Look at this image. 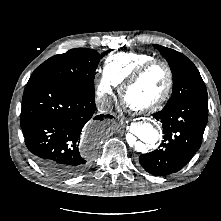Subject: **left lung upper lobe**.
Returning a JSON list of instances; mask_svg holds the SVG:
<instances>
[{"instance_id":"1","label":"left lung upper lobe","mask_w":221,"mask_h":221,"mask_svg":"<svg viewBox=\"0 0 221 221\" xmlns=\"http://www.w3.org/2000/svg\"><path fill=\"white\" fill-rule=\"evenodd\" d=\"M168 61L173 76V92L166 105L176 104L193 96H207L205 83L195 65L182 53L153 45Z\"/></svg>"}]
</instances>
